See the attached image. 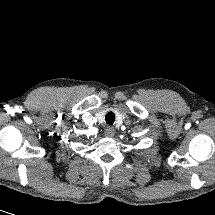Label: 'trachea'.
<instances>
[{"mask_svg":"<svg viewBox=\"0 0 215 215\" xmlns=\"http://www.w3.org/2000/svg\"><path fill=\"white\" fill-rule=\"evenodd\" d=\"M106 123L109 125H113L115 121V114L113 112H108L105 116Z\"/></svg>","mask_w":215,"mask_h":215,"instance_id":"obj_1","label":"trachea"}]
</instances>
